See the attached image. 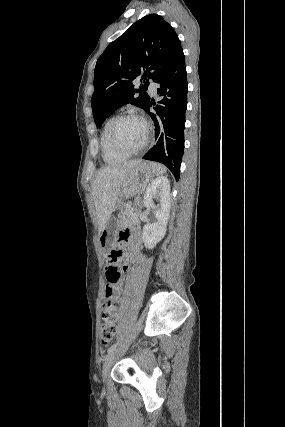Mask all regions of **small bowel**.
Listing matches in <instances>:
<instances>
[{
  "instance_id": "c3829d8e",
  "label": "small bowel",
  "mask_w": 285,
  "mask_h": 427,
  "mask_svg": "<svg viewBox=\"0 0 285 427\" xmlns=\"http://www.w3.org/2000/svg\"><path fill=\"white\" fill-rule=\"evenodd\" d=\"M124 244H128L129 249L132 252V258L136 261H140L142 259V254L140 252L141 250V238H140V230L139 227H134L132 230L129 231V237L125 240ZM122 294V288L120 285L112 286L111 287V295L109 296L110 299L113 301H120ZM108 296L105 293L104 299H106ZM119 315L124 311V307L121 305L118 308ZM119 317V316H118ZM117 317V319H118ZM117 321V320H116Z\"/></svg>"
}]
</instances>
